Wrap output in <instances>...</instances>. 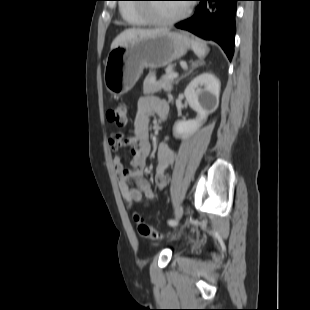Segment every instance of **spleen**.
Here are the masks:
<instances>
[{
  "mask_svg": "<svg viewBox=\"0 0 310 310\" xmlns=\"http://www.w3.org/2000/svg\"><path fill=\"white\" fill-rule=\"evenodd\" d=\"M192 43L196 55L203 59L208 52V48L196 40H192Z\"/></svg>",
  "mask_w": 310,
  "mask_h": 310,
  "instance_id": "1",
  "label": "spleen"
}]
</instances>
